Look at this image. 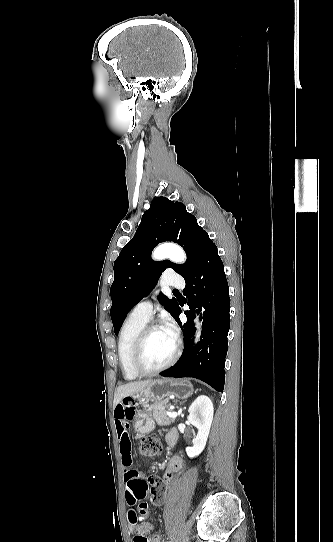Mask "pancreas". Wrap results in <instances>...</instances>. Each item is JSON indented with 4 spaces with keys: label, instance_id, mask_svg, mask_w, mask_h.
Masks as SVG:
<instances>
[{
    "label": "pancreas",
    "instance_id": "pancreas-1",
    "mask_svg": "<svg viewBox=\"0 0 333 542\" xmlns=\"http://www.w3.org/2000/svg\"><path fill=\"white\" fill-rule=\"evenodd\" d=\"M147 408H150L149 414H140V418H154L158 426H170L174 424L175 418H168L166 412H172L170 410L171 404L169 402H159V404H146Z\"/></svg>",
    "mask_w": 333,
    "mask_h": 542
}]
</instances>
